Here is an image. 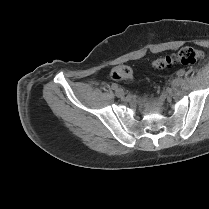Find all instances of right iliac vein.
<instances>
[{"label":"right iliac vein","instance_id":"obj_1","mask_svg":"<svg viewBox=\"0 0 209 209\" xmlns=\"http://www.w3.org/2000/svg\"><path fill=\"white\" fill-rule=\"evenodd\" d=\"M115 94L117 97L122 98V97H124L125 93H124L123 89L119 88L115 91Z\"/></svg>","mask_w":209,"mask_h":209}]
</instances>
